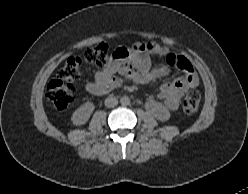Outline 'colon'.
<instances>
[{"instance_id": "colon-1", "label": "colon", "mask_w": 248, "mask_h": 194, "mask_svg": "<svg viewBox=\"0 0 248 194\" xmlns=\"http://www.w3.org/2000/svg\"><path fill=\"white\" fill-rule=\"evenodd\" d=\"M159 58H165L169 65H173V53H157ZM110 61L108 47L105 43H99L89 47L83 57H70L60 69L58 76L52 79L46 88L47 99L57 108L64 109L71 104L76 96L73 81L79 79L86 64L97 67H105ZM200 93L190 90L182 101V110L187 115L195 114L200 105Z\"/></svg>"}]
</instances>
